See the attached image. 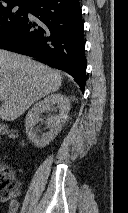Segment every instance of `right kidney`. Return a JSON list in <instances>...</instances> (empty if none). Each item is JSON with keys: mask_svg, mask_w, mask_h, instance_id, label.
Returning <instances> with one entry per match:
<instances>
[{"mask_svg": "<svg viewBox=\"0 0 128 213\" xmlns=\"http://www.w3.org/2000/svg\"><path fill=\"white\" fill-rule=\"evenodd\" d=\"M54 105H57L59 108V114L48 118V131L38 135L35 131V126L39 121L40 114L45 111H50ZM69 110V99L60 93L51 94L43 100L37 102L27 113L25 119V130L29 140L39 148L48 145L61 131V128L68 117Z\"/></svg>", "mask_w": 128, "mask_h": 213, "instance_id": "obj_1", "label": "right kidney"}]
</instances>
